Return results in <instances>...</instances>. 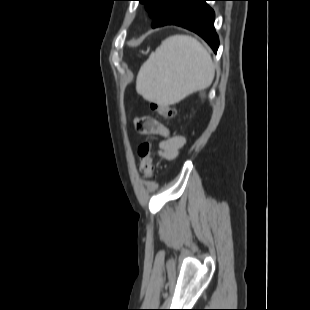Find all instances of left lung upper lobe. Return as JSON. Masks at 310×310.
Listing matches in <instances>:
<instances>
[{
	"mask_svg": "<svg viewBox=\"0 0 310 310\" xmlns=\"http://www.w3.org/2000/svg\"><path fill=\"white\" fill-rule=\"evenodd\" d=\"M145 3L153 18L152 27H161L170 24L177 14L186 5L187 0H139Z\"/></svg>",
	"mask_w": 310,
	"mask_h": 310,
	"instance_id": "left-lung-upper-lobe-1",
	"label": "left lung upper lobe"
}]
</instances>
